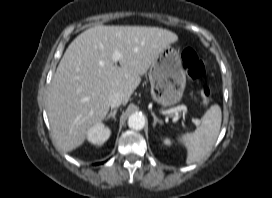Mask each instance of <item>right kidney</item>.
<instances>
[{
	"label": "right kidney",
	"instance_id": "right-kidney-1",
	"mask_svg": "<svg viewBox=\"0 0 272 198\" xmlns=\"http://www.w3.org/2000/svg\"><path fill=\"white\" fill-rule=\"evenodd\" d=\"M111 135V130L102 123L95 124L87 134L89 142L95 145H102Z\"/></svg>",
	"mask_w": 272,
	"mask_h": 198
}]
</instances>
